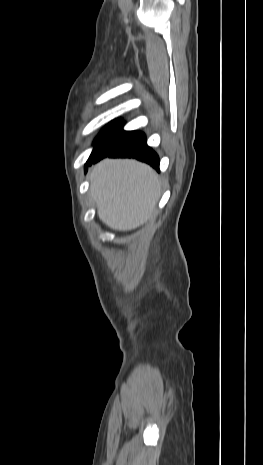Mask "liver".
<instances>
[{
    "instance_id": "6515ba94",
    "label": "liver",
    "mask_w": 263,
    "mask_h": 465,
    "mask_svg": "<svg viewBox=\"0 0 263 465\" xmlns=\"http://www.w3.org/2000/svg\"><path fill=\"white\" fill-rule=\"evenodd\" d=\"M100 220L117 231L133 230L155 213L161 194L158 174L133 159H104L90 174Z\"/></svg>"
}]
</instances>
